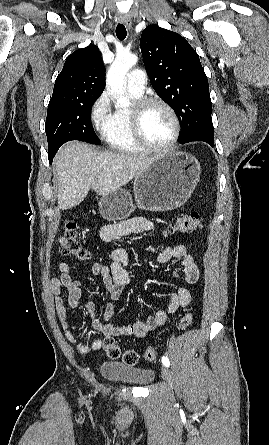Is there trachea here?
Masks as SVG:
<instances>
[{
	"label": "trachea",
	"instance_id": "3493384b",
	"mask_svg": "<svg viewBox=\"0 0 269 445\" xmlns=\"http://www.w3.org/2000/svg\"><path fill=\"white\" fill-rule=\"evenodd\" d=\"M127 31L123 24H118L116 27V36L120 40H124L126 38Z\"/></svg>",
	"mask_w": 269,
	"mask_h": 445
}]
</instances>
